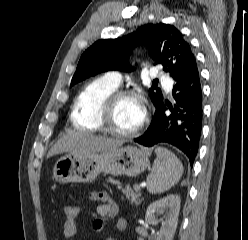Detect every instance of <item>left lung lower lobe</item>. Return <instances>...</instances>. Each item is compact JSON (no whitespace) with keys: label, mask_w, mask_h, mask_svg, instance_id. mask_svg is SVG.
Wrapping results in <instances>:
<instances>
[{"label":"left lung lower lobe","mask_w":248,"mask_h":240,"mask_svg":"<svg viewBox=\"0 0 248 240\" xmlns=\"http://www.w3.org/2000/svg\"><path fill=\"white\" fill-rule=\"evenodd\" d=\"M175 104L165 102L156 109L147 131L134 141L147 147L168 143L181 150L190 165L196 158L202 130V88L197 64L176 81L173 88ZM168 109L172 114L167 115Z\"/></svg>","instance_id":"1"}]
</instances>
